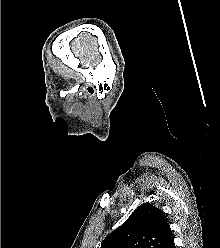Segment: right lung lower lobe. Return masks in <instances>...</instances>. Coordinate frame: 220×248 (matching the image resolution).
<instances>
[{
    "label": "right lung lower lobe",
    "instance_id": "1",
    "mask_svg": "<svg viewBox=\"0 0 220 248\" xmlns=\"http://www.w3.org/2000/svg\"><path fill=\"white\" fill-rule=\"evenodd\" d=\"M163 248H176V247L174 246V239L171 238V239L166 243V245H165Z\"/></svg>",
    "mask_w": 220,
    "mask_h": 248
}]
</instances>
